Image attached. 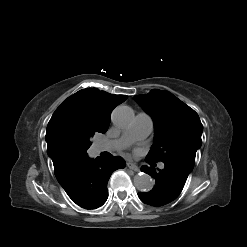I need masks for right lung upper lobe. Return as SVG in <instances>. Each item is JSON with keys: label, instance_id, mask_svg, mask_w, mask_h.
I'll list each match as a JSON object with an SVG mask.
<instances>
[{"label": "right lung upper lobe", "instance_id": "obj_1", "mask_svg": "<svg viewBox=\"0 0 247 247\" xmlns=\"http://www.w3.org/2000/svg\"><path fill=\"white\" fill-rule=\"evenodd\" d=\"M127 99L97 88H86L66 99L52 115L46 131L47 152L54 168L88 158L90 138L105 133L113 108Z\"/></svg>", "mask_w": 247, "mask_h": 247}]
</instances>
